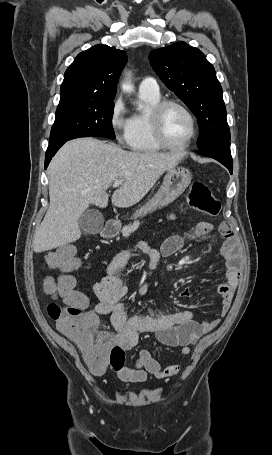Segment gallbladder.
<instances>
[{
	"label": "gallbladder",
	"mask_w": 272,
	"mask_h": 455,
	"mask_svg": "<svg viewBox=\"0 0 272 455\" xmlns=\"http://www.w3.org/2000/svg\"><path fill=\"white\" fill-rule=\"evenodd\" d=\"M104 224L103 216L95 210H87L79 218V226L85 233L96 234Z\"/></svg>",
	"instance_id": "gallbladder-1"
}]
</instances>
